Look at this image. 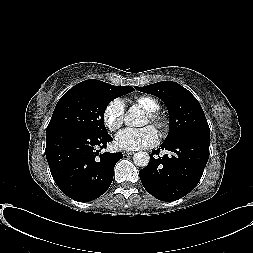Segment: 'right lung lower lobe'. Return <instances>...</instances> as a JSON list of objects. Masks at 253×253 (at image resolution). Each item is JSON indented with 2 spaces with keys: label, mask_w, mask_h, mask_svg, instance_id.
Wrapping results in <instances>:
<instances>
[{
  "label": "right lung lower lobe",
  "mask_w": 253,
  "mask_h": 253,
  "mask_svg": "<svg viewBox=\"0 0 253 253\" xmlns=\"http://www.w3.org/2000/svg\"><path fill=\"white\" fill-rule=\"evenodd\" d=\"M113 139L107 133L59 130L46 135V158L60 190L79 202L104 194L112 180L115 164L122 153H100Z\"/></svg>",
  "instance_id": "obj_1"
}]
</instances>
